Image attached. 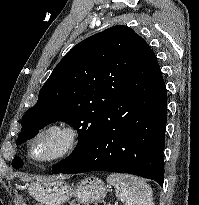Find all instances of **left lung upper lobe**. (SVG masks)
<instances>
[{
  "label": "left lung upper lobe",
  "instance_id": "1",
  "mask_svg": "<svg viewBox=\"0 0 199 205\" xmlns=\"http://www.w3.org/2000/svg\"><path fill=\"white\" fill-rule=\"evenodd\" d=\"M144 43L134 30L117 25L75 45L54 68L36 105L23 115L16 144L33 138L52 122L63 121L78 131L79 144L68 158L52 166V173L58 174L75 163L121 95ZM12 165L21 168L23 161L17 156Z\"/></svg>",
  "mask_w": 199,
  "mask_h": 205
}]
</instances>
